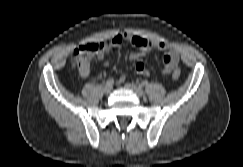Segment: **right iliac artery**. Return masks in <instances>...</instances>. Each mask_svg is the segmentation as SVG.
I'll return each mask as SVG.
<instances>
[{"mask_svg": "<svg viewBox=\"0 0 243 167\" xmlns=\"http://www.w3.org/2000/svg\"><path fill=\"white\" fill-rule=\"evenodd\" d=\"M106 84H108V85H113V84H114V79H113V78H109V79L106 81Z\"/></svg>", "mask_w": 243, "mask_h": 167, "instance_id": "right-iliac-artery-1", "label": "right iliac artery"}]
</instances>
